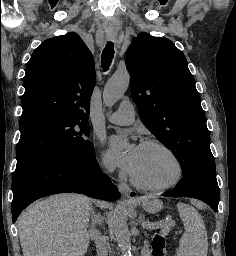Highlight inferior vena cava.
<instances>
[{"label":"inferior vena cava","mask_w":236,"mask_h":256,"mask_svg":"<svg viewBox=\"0 0 236 256\" xmlns=\"http://www.w3.org/2000/svg\"><path fill=\"white\" fill-rule=\"evenodd\" d=\"M91 234H94L96 240V250H97V256H107L108 250H107V242L106 238L104 236H101L100 232H94L92 230Z\"/></svg>","instance_id":"1"}]
</instances>
